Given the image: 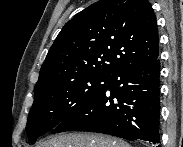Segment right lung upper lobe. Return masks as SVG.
I'll use <instances>...</instances> for the list:
<instances>
[{"label":"right lung upper lobe","instance_id":"cb5924a9","mask_svg":"<svg viewBox=\"0 0 183 147\" xmlns=\"http://www.w3.org/2000/svg\"><path fill=\"white\" fill-rule=\"evenodd\" d=\"M158 56L157 22L148 0H99L62 28L34 90L86 76L111 77Z\"/></svg>","mask_w":183,"mask_h":147}]
</instances>
